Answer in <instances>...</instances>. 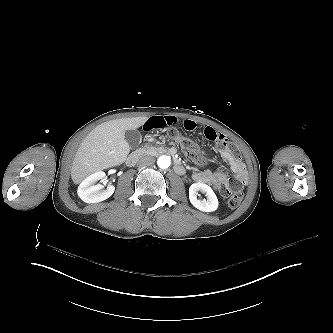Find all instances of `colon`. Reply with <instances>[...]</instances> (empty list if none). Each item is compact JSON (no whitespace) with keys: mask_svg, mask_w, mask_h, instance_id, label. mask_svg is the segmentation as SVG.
<instances>
[{"mask_svg":"<svg viewBox=\"0 0 333 333\" xmlns=\"http://www.w3.org/2000/svg\"><path fill=\"white\" fill-rule=\"evenodd\" d=\"M143 131L148 133V131L144 128ZM168 135L170 140L173 143L178 144L181 150L191 161L199 165L205 164L207 156L196 144L195 141L187 138H181L179 134L174 131H170ZM231 182L233 185L223 184L220 187V193L227 200V204L230 208H237L243 198V193L241 191L240 185L243 184L244 177L240 173H235L231 177Z\"/></svg>","mask_w":333,"mask_h":333,"instance_id":"1","label":"colon"}]
</instances>
